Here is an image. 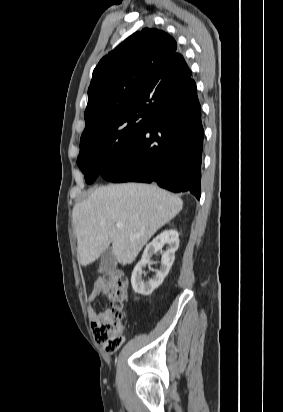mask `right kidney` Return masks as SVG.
Instances as JSON below:
<instances>
[{
    "mask_svg": "<svg viewBox=\"0 0 283 412\" xmlns=\"http://www.w3.org/2000/svg\"><path fill=\"white\" fill-rule=\"evenodd\" d=\"M166 245V250L163 247ZM179 247V234L176 230H165L156 236L144 250L141 260L134 267L131 276V284L135 293L147 296L150 295L156 288H158L164 278L169 273V270L175 259V252ZM161 252V266L156 270V275L148 281L142 278L143 268L147 264H151V257L157 252Z\"/></svg>",
    "mask_w": 283,
    "mask_h": 412,
    "instance_id": "right-kidney-1",
    "label": "right kidney"
}]
</instances>
